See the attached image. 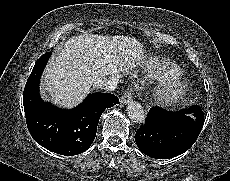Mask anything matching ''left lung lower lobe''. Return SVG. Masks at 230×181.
I'll return each mask as SVG.
<instances>
[{"label":"left lung lower lobe","instance_id":"left-lung-lower-lobe-1","mask_svg":"<svg viewBox=\"0 0 230 181\" xmlns=\"http://www.w3.org/2000/svg\"><path fill=\"white\" fill-rule=\"evenodd\" d=\"M203 124L204 115L199 106L177 112L155 106L149 110L145 124L137 130L135 141L147 156L169 159L186 152L194 144Z\"/></svg>","mask_w":230,"mask_h":181}]
</instances>
